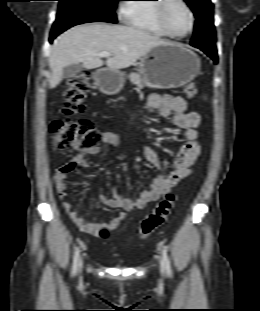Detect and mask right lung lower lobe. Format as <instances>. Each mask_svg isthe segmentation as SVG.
<instances>
[{
	"label": "right lung lower lobe",
	"instance_id": "right-lung-lower-lobe-1",
	"mask_svg": "<svg viewBox=\"0 0 260 311\" xmlns=\"http://www.w3.org/2000/svg\"><path fill=\"white\" fill-rule=\"evenodd\" d=\"M78 24H82V23H78V22H64L62 23L61 25H56L54 24L53 27H52V31H51V36L49 38V41L52 42L53 39L59 35L60 33H62L63 31H65L66 29L74 26V25H78Z\"/></svg>",
	"mask_w": 260,
	"mask_h": 311
}]
</instances>
